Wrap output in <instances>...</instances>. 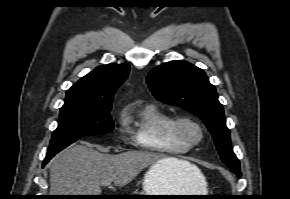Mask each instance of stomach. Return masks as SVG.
<instances>
[{"mask_svg": "<svg viewBox=\"0 0 290 199\" xmlns=\"http://www.w3.org/2000/svg\"><path fill=\"white\" fill-rule=\"evenodd\" d=\"M187 186L186 191H179ZM207 183L200 172L195 179L187 183L180 176L169 173L161 163L152 165L144 174V195H205ZM159 199H195L188 197H148Z\"/></svg>", "mask_w": 290, "mask_h": 199, "instance_id": "0dacf381", "label": "stomach"}]
</instances>
